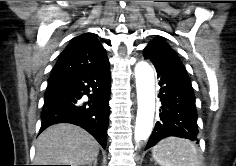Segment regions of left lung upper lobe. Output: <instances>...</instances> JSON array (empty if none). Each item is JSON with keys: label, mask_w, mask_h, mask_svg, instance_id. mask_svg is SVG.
Returning a JSON list of instances; mask_svg holds the SVG:
<instances>
[{"label": "left lung upper lobe", "mask_w": 236, "mask_h": 166, "mask_svg": "<svg viewBox=\"0 0 236 166\" xmlns=\"http://www.w3.org/2000/svg\"><path fill=\"white\" fill-rule=\"evenodd\" d=\"M144 58L149 59L154 65L180 61L175 51L161 38L154 39L146 46Z\"/></svg>", "instance_id": "left-lung-upper-lobe-1"}]
</instances>
